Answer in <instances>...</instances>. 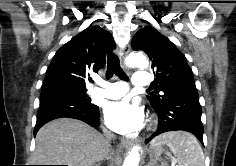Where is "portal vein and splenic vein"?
<instances>
[{
	"instance_id": "18ae733b",
	"label": "portal vein and splenic vein",
	"mask_w": 236,
	"mask_h": 166,
	"mask_svg": "<svg viewBox=\"0 0 236 166\" xmlns=\"http://www.w3.org/2000/svg\"><path fill=\"white\" fill-rule=\"evenodd\" d=\"M172 164H173V165L176 164V160H175V159L172 160Z\"/></svg>"
}]
</instances>
